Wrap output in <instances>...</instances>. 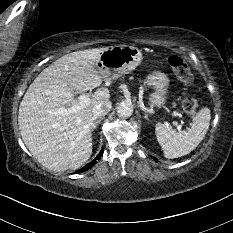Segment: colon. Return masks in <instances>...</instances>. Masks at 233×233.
I'll list each match as a JSON object with an SVG mask.
<instances>
[{"label":"colon","instance_id":"1","mask_svg":"<svg viewBox=\"0 0 233 233\" xmlns=\"http://www.w3.org/2000/svg\"><path fill=\"white\" fill-rule=\"evenodd\" d=\"M168 64L183 86L188 87L193 83V75L191 70L182 57L172 55L168 58ZM180 103L183 110L189 114L197 112L200 107L199 102L186 93H184L181 97Z\"/></svg>","mask_w":233,"mask_h":233}]
</instances>
